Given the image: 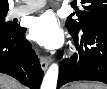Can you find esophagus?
Wrapping results in <instances>:
<instances>
[{"instance_id": "1", "label": "esophagus", "mask_w": 107, "mask_h": 89, "mask_svg": "<svg viewBox=\"0 0 107 89\" xmlns=\"http://www.w3.org/2000/svg\"><path fill=\"white\" fill-rule=\"evenodd\" d=\"M51 63V58L50 57H42L41 58V68L42 70H46L48 68V66Z\"/></svg>"}]
</instances>
